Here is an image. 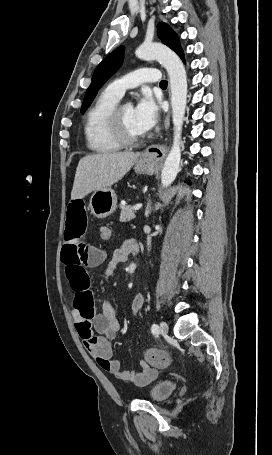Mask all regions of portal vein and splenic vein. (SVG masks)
Wrapping results in <instances>:
<instances>
[{"mask_svg": "<svg viewBox=\"0 0 272 455\" xmlns=\"http://www.w3.org/2000/svg\"><path fill=\"white\" fill-rule=\"evenodd\" d=\"M142 207V204H136L134 207H133V210L137 211L139 209H141Z\"/></svg>", "mask_w": 272, "mask_h": 455, "instance_id": "1", "label": "portal vein and splenic vein"}]
</instances>
